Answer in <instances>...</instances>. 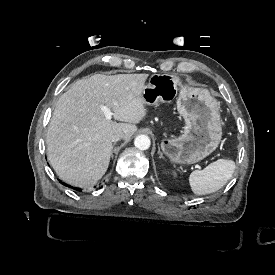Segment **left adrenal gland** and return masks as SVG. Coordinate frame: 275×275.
Returning <instances> with one entry per match:
<instances>
[{
  "mask_svg": "<svg viewBox=\"0 0 275 275\" xmlns=\"http://www.w3.org/2000/svg\"><path fill=\"white\" fill-rule=\"evenodd\" d=\"M158 152H160V150ZM160 158L163 159L164 157L161 155Z\"/></svg>",
  "mask_w": 275,
  "mask_h": 275,
  "instance_id": "a2214340",
  "label": "left adrenal gland"
}]
</instances>
